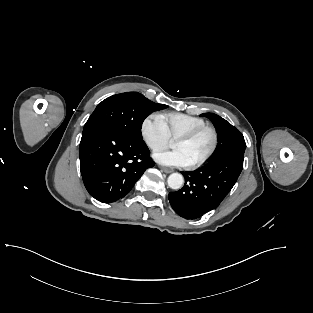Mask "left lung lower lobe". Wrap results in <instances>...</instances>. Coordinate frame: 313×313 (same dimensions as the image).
<instances>
[{
  "instance_id": "0a47b994",
  "label": "left lung lower lobe",
  "mask_w": 313,
  "mask_h": 313,
  "mask_svg": "<svg viewBox=\"0 0 313 313\" xmlns=\"http://www.w3.org/2000/svg\"><path fill=\"white\" fill-rule=\"evenodd\" d=\"M243 160L244 152H233L210 160L197 170L181 172L185 185L168 195L174 211L185 219H197L217 208L236 183Z\"/></svg>"
}]
</instances>
